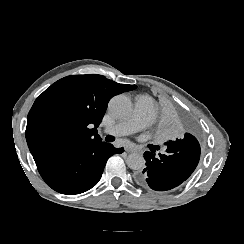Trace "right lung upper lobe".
<instances>
[{
    "mask_svg": "<svg viewBox=\"0 0 244 244\" xmlns=\"http://www.w3.org/2000/svg\"><path fill=\"white\" fill-rule=\"evenodd\" d=\"M136 85L119 84L102 75H71L46 89L28 117L26 140L32 155L101 140L97 127L108 101Z\"/></svg>",
    "mask_w": 244,
    "mask_h": 244,
    "instance_id": "cb5924a9",
    "label": "right lung upper lobe"
}]
</instances>
